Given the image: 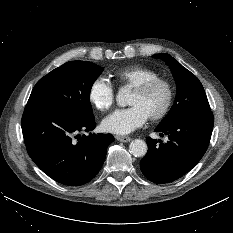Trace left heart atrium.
Wrapping results in <instances>:
<instances>
[{"instance_id": "1", "label": "left heart atrium", "mask_w": 233, "mask_h": 233, "mask_svg": "<svg viewBox=\"0 0 233 233\" xmlns=\"http://www.w3.org/2000/svg\"><path fill=\"white\" fill-rule=\"evenodd\" d=\"M148 119L145 112L138 106L118 109L103 120V128L115 134H128L141 127Z\"/></svg>"}]
</instances>
